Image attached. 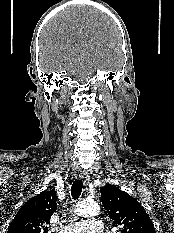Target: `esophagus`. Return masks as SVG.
<instances>
[{
  "instance_id": "obj_1",
  "label": "esophagus",
  "mask_w": 174,
  "mask_h": 233,
  "mask_svg": "<svg viewBox=\"0 0 174 233\" xmlns=\"http://www.w3.org/2000/svg\"><path fill=\"white\" fill-rule=\"evenodd\" d=\"M79 179H82L84 181V183H88L89 181V177L88 175H86L84 172H80L78 175Z\"/></svg>"
}]
</instances>
